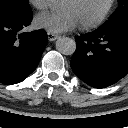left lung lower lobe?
<instances>
[{
  "mask_svg": "<svg viewBox=\"0 0 128 128\" xmlns=\"http://www.w3.org/2000/svg\"><path fill=\"white\" fill-rule=\"evenodd\" d=\"M73 72L94 88L108 87L128 73V20L75 38Z\"/></svg>",
  "mask_w": 128,
  "mask_h": 128,
  "instance_id": "left-lung-lower-lobe-1",
  "label": "left lung lower lobe"
}]
</instances>
